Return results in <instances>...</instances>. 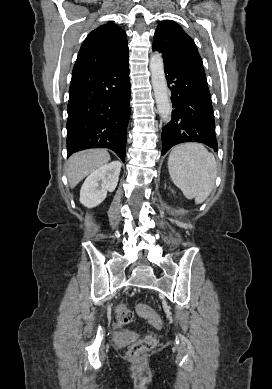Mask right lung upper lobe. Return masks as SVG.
I'll use <instances>...</instances> for the list:
<instances>
[{
    "label": "right lung upper lobe",
    "mask_w": 272,
    "mask_h": 389,
    "mask_svg": "<svg viewBox=\"0 0 272 389\" xmlns=\"http://www.w3.org/2000/svg\"><path fill=\"white\" fill-rule=\"evenodd\" d=\"M128 54L125 31L108 22L90 32L84 40L72 76L101 70L124 60Z\"/></svg>",
    "instance_id": "obj_1"
}]
</instances>
